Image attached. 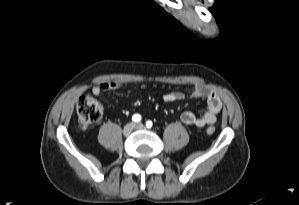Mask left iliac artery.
<instances>
[{"mask_svg":"<svg viewBox=\"0 0 299 205\" xmlns=\"http://www.w3.org/2000/svg\"><path fill=\"white\" fill-rule=\"evenodd\" d=\"M152 125H153V123H152L151 121H147V122H146V126H147L148 128H151Z\"/></svg>","mask_w":299,"mask_h":205,"instance_id":"left-iliac-artery-1","label":"left iliac artery"}]
</instances>
